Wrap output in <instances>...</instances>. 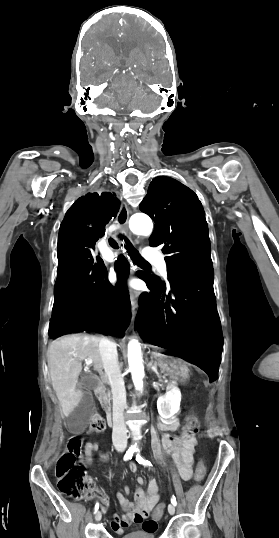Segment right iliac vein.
I'll list each match as a JSON object with an SVG mask.
<instances>
[{"mask_svg": "<svg viewBox=\"0 0 279 538\" xmlns=\"http://www.w3.org/2000/svg\"><path fill=\"white\" fill-rule=\"evenodd\" d=\"M101 518H102V513L100 511H97L95 515V520L98 522L101 520Z\"/></svg>", "mask_w": 279, "mask_h": 538, "instance_id": "right-iliac-vein-1", "label": "right iliac vein"}]
</instances>
